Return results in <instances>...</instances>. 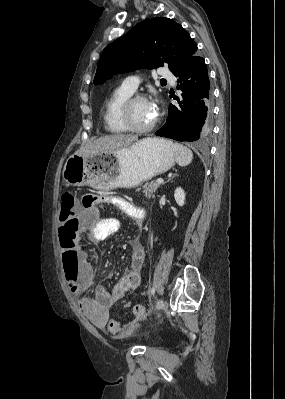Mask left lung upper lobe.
Segmentation results:
<instances>
[{"label":"left lung upper lobe","mask_w":285,"mask_h":399,"mask_svg":"<svg viewBox=\"0 0 285 399\" xmlns=\"http://www.w3.org/2000/svg\"><path fill=\"white\" fill-rule=\"evenodd\" d=\"M196 51V43L180 24L169 18L146 19L103 50L94 84L105 82L115 73L164 64L174 73Z\"/></svg>","instance_id":"1"}]
</instances>
